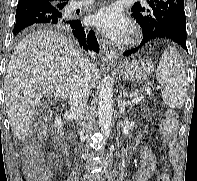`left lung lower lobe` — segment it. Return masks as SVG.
I'll return each mask as SVG.
<instances>
[{
	"label": "left lung lower lobe",
	"mask_w": 197,
	"mask_h": 181,
	"mask_svg": "<svg viewBox=\"0 0 197 181\" xmlns=\"http://www.w3.org/2000/svg\"><path fill=\"white\" fill-rule=\"evenodd\" d=\"M157 38H167L178 43L187 52L186 46V17L185 13L178 12L172 13L162 17L152 32L144 35L140 45L134 49L125 51L123 55L128 56L137 51V48L143 46L145 43L157 39Z\"/></svg>",
	"instance_id": "0a47b994"
}]
</instances>
